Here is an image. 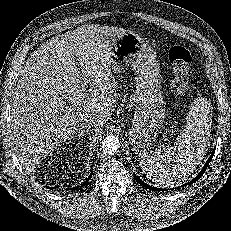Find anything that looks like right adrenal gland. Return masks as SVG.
Listing matches in <instances>:
<instances>
[{"instance_id":"1","label":"right adrenal gland","mask_w":231,"mask_h":231,"mask_svg":"<svg viewBox=\"0 0 231 231\" xmlns=\"http://www.w3.org/2000/svg\"><path fill=\"white\" fill-rule=\"evenodd\" d=\"M86 133H87L86 130L80 129V131H78V134L75 135V136H72L71 138H76L77 140H80V138L83 137V136H85ZM78 142H80V141H78Z\"/></svg>"}]
</instances>
